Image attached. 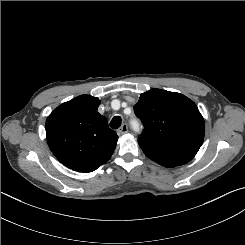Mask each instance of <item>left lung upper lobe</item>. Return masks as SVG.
Wrapping results in <instances>:
<instances>
[{
    "mask_svg": "<svg viewBox=\"0 0 245 245\" xmlns=\"http://www.w3.org/2000/svg\"><path fill=\"white\" fill-rule=\"evenodd\" d=\"M134 112L145 127L138 141L190 158L203 143L204 119L183 94L151 89L141 94Z\"/></svg>",
    "mask_w": 245,
    "mask_h": 245,
    "instance_id": "left-lung-upper-lobe-1",
    "label": "left lung upper lobe"
}]
</instances>
